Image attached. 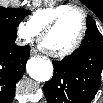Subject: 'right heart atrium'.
I'll return each instance as SVG.
<instances>
[{"mask_svg": "<svg viewBox=\"0 0 103 103\" xmlns=\"http://www.w3.org/2000/svg\"><path fill=\"white\" fill-rule=\"evenodd\" d=\"M17 35L24 42H30L36 37V33L25 23H19L17 26Z\"/></svg>", "mask_w": 103, "mask_h": 103, "instance_id": "d8ad5b80", "label": "right heart atrium"}]
</instances>
